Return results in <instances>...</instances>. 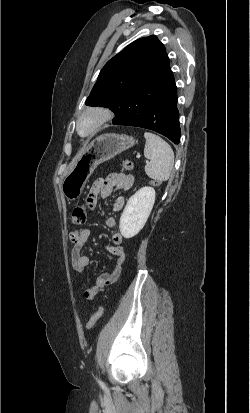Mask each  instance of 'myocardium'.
Masks as SVG:
<instances>
[{
	"mask_svg": "<svg viewBox=\"0 0 250 413\" xmlns=\"http://www.w3.org/2000/svg\"><path fill=\"white\" fill-rule=\"evenodd\" d=\"M115 114L113 110L107 106L97 105L90 106L83 110L76 120V131L81 137H90L95 135L105 124L112 121ZM85 118H92L93 124L88 132L82 133L80 126Z\"/></svg>",
	"mask_w": 250,
	"mask_h": 413,
	"instance_id": "obj_1",
	"label": "myocardium"
}]
</instances>
